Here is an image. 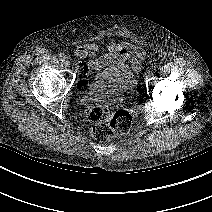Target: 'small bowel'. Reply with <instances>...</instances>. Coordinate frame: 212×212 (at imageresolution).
I'll use <instances>...</instances> for the list:
<instances>
[{
    "label": "small bowel",
    "instance_id": "small-bowel-1",
    "mask_svg": "<svg viewBox=\"0 0 212 212\" xmlns=\"http://www.w3.org/2000/svg\"><path fill=\"white\" fill-rule=\"evenodd\" d=\"M102 52L101 56L95 57L90 64L94 68H101L110 66L112 64L123 65L127 62L131 64L134 69H139L144 54L140 50L133 49L124 43H109L105 49H102L96 43H87L79 46L76 49V55L79 58H84Z\"/></svg>",
    "mask_w": 212,
    "mask_h": 212
}]
</instances>
